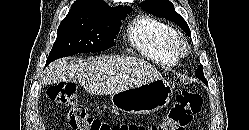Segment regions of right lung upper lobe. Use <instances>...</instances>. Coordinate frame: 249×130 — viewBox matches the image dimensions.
<instances>
[{
  "label": "right lung upper lobe",
  "mask_w": 249,
  "mask_h": 130,
  "mask_svg": "<svg viewBox=\"0 0 249 130\" xmlns=\"http://www.w3.org/2000/svg\"><path fill=\"white\" fill-rule=\"evenodd\" d=\"M103 6H108L103 0H76L70 11L92 12L97 11Z\"/></svg>",
  "instance_id": "obj_1"
}]
</instances>
